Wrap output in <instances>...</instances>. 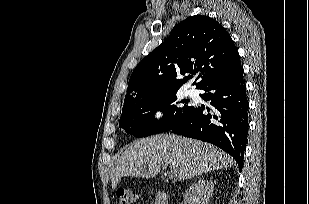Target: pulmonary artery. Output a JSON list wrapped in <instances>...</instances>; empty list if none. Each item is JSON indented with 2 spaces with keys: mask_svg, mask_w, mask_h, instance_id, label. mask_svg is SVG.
Here are the masks:
<instances>
[{
  "mask_svg": "<svg viewBox=\"0 0 309 204\" xmlns=\"http://www.w3.org/2000/svg\"><path fill=\"white\" fill-rule=\"evenodd\" d=\"M187 94H189V95L194 94V90H193V89H188V90H187Z\"/></svg>",
  "mask_w": 309,
  "mask_h": 204,
  "instance_id": "pulmonary-artery-1",
  "label": "pulmonary artery"
}]
</instances>
